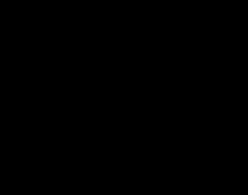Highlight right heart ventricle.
<instances>
[{
	"mask_svg": "<svg viewBox=\"0 0 248 195\" xmlns=\"http://www.w3.org/2000/svg\"><path fill=\"white\" fill-rule=\"evenodd\" d=\"M162 42L161 38H146L134 43L131 47L122 49L118 53L120 67L124 72H131L143 62L149 54Z\"/></svg>",
	"mask_w": 248,
	"mask_h": 195,
	"instance_id": "e07e8e85",
	"label": "right heart ventricle"
}]
</instances>
